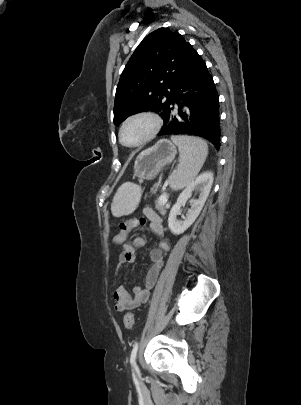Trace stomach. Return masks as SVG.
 Here are the masks:
<instances>
[{"label":"stomach","mask_w":301,"mask_h":405,"mask_svg":"<svg viewBox=\"0 0 301 405\" xmlns=\"http://www.w3.org/2000/svg\"><path fill=\"white\" fill-rule=\"evenodd\" d=\"M176 153V147L172 142L166 139L159 140L137 156L134 163V177L140 181L152 180L165 165L173 161Z\"/></svg>","instance_id":"obj_1"}]
</instances>
